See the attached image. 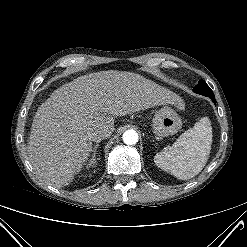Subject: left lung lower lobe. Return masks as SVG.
<instances>
[{
	"label": "left lung lower lobe",
	"instance_id": "obj_1",
	"mask_svg": "<svg viewBox=\"0 0 247 247\" xmlns=\"http://www.w3.org/2000/svg\"><path fill=\"white\" fill-rule=\"evenodd\" d=\"M211 99H212V101L215 103L216 102V100H215V97L213 96V97H210Z\"/></svg>",
	"mask_w": 247,
	"mask_h": 247
}]
</instances>
